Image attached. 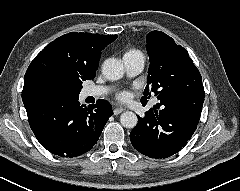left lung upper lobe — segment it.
<instances>
[{"label":"left lung upper lobe","instance_id":"obj_1","mask_svg":"<svg viewBox=\"0 0 240 191\" xmlns=\"http://www.w3.org/2000/svg\"><path fill=\"white\" fill-rule=\"evenodd\" d=\"M146 48L150 66L142 103L146 104L153 93L158 100L157 105H163L187 93L192 84H202L199 70L186 49L167 34L150 32Z\"/></svg>","mask_w":240,"mask_h":191}]
</instances>
